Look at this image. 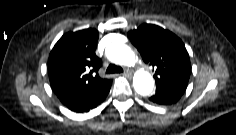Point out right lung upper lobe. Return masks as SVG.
Masks as SVG:
<instances>
[{
  "instance_id": "right-lung-upper-lobe-1",
  "label": "right lung upper lobe",
  "mask_w": 236,
  "mask_h": 135,
  "mask_svg": "<svg viewBox=\"0 0 236 135\" xmlns=\"http://www.w3.org/2000/svg\"><path fill=\"white\" fill-rule=\"evenodd\" d=\"M98 31L85 29L64 34L52 49L48 60L52 90L58 96L92 92L109 79L98 70L102 61L95 55Z\"/></svg>"
}]
</instances>
